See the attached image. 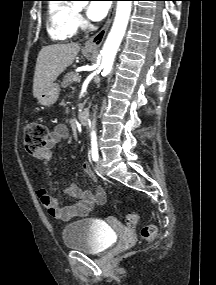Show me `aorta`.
Segmentation results:
<instances>
[{
  "label": "aorta",
  "instance_id": "1",
  "mask_svg": "<svg viewBox=\"0 0 216 285\" xmlns=\"http://www.w3.org/2000/svg\"><path fill=\"white\" fill-rule=\"evenodd\" d=\"M132 8V1H118L116 8V16L110 33L105 41L102 55V67L105 74H109L115 60L120 43L125 34L130 13Z\"/></svg>",
  "mask_w": 216,
  "mask_h": 285
}]
</instances>
